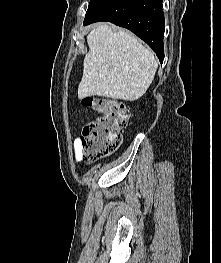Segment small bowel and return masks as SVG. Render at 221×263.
Returning a JSON list of instances; mask_svg holds the SVG:
<instances>
[{"instance_id": "obj_1", "label": "small bowel", "mask_w": 221, "mask_h": 263, "mask_svg": "<svg viewBox=\"0 0 221 263\" xmlns=\"http://www.w3.org/2000/svg\"><path fill=\"white\" fill-rule=\"evenodd\" d=\"M82 139L83 138L80 137L74 141V158L76 161H82L84 159L82 153Z\"/></svg>"}]
</instances>
